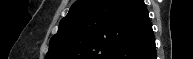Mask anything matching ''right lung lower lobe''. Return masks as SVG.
<instances>
[{"instance_id": "1", "label": "right lung lower lobe", "mask_w": 193, "mask_h": 59, "mask_svg": "<svg viewBox=\"0 0 193 59\" xmlns=\"http://www.w3.org/2000/svg\"><path fill=\"white\" fill-rule=\"evenodd\" d=\"M121 59H156L155 39L153 34L140 47L122 56Z\"/></svg>"}]
</instances>
